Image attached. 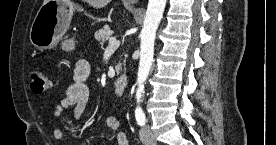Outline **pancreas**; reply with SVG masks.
I'll use <instances>...</instances> for the list:
<instances>
[{"instance_id": "1", "label": "pancreas", "mask_w": 276, "mask_h": 145, "mask_svg": "<svg viewBox=\"0 0 276 145\" xmlns=\"http://www.w3.org/2000/svg\"><path fill=\"white\" fill-rule=\"evenodd\" d=\"M112 31L109 27H106L104 29H100L94 34L95 39L103 46L106 41H108L112 37ZM121 69V65L116 66V72L119 73Z\"/></svg>"}]
</instances>
